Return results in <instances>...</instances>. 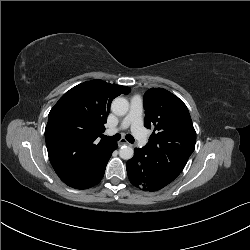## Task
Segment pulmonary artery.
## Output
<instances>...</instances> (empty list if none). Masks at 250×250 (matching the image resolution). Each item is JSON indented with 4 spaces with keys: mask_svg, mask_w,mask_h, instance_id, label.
Returning a JSON list of instances; mask_svg holds the SVG:
<instances>
[{
    "mask_svg": "<svg viewBox=\"0 0 250 250\" xmlns=\"http://www.w3.org/2000/svg\"><path fill=\"white\" fill-rule=\"evenodd\" d=\"M143 109V102L141 97L134 96L130 101V109L126 117L123 119L121 125L118 128L108 130V134H114L119 130H124L128 127L131 128L133 135L138 140L141 146L147 143V135L142 126L141 115Z\"/></svg>",
    "mask_w": 250,
    "mask_h": 250,
    "instance_id": "e3ab8cb5",
    "label": "pulmonary artery"
}]
</instances>
